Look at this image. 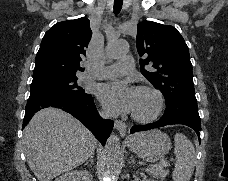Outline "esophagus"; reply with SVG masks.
I'll list each match as a JSON object with an SVG mask.
<instances>
[{
  "label": "esophagus",
  "instance_id": "obj_1",
  "mask_svg": "<svg viewBox=\"0 0 228 181\" xmlns=\"http://www.w3.org/2000/svg\"><path fill=\"white\" fill-rule=\"evenodd\" d=\"M114 127L117 131H119L121 136H126L127 135V126L123 121L116 120L114 123Z\"/></svg>",
  "mask_w": 228,
  "mask_h": 181
}]
</instances>
